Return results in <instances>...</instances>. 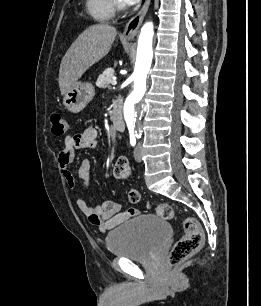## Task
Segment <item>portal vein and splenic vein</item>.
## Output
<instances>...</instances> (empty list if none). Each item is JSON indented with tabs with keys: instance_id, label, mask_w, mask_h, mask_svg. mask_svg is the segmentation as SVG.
Here are the masks:
<instances>
[{
	"instance_id": "portal-vein-and-splenic-vein-1",
	"label": "portal vein and splenic vein",
	"mask_w": 261,
	"mask_h": 306,
	"mask_svg": "<svg viewBox=\"0 0 261 306\" xmlns=\"http://www.w3.org/2000/svg\"><path fill=\"white\" fill-rule=\"evenodd\" d=\"M111 84H112V85H116V84H117V81H116V80H112V81H111Z\"/></svg>"
}]
</instances>
